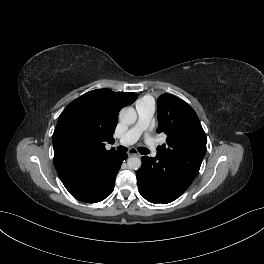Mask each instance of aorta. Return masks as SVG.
<instances>
[{
    "label": "aorta",
    "mask_w": 264,
    "mask_h": 264,
    "mask_svg": "<svg viewBox=\"0 0 264 264\" xmlns=\"http://www.w3.org/2000/svg\"><path fill=\"white\" fill-rule=\"evenodd\" d=\"M119 120L126 125H132L137 120V113L132 107H124L119 113ZM127 165L132 170H138L141 167V159L138 157H130Z\"/></svg>",
    "instance_id": "obj_1"
}]
</instances>
